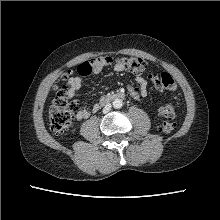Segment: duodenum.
<instances>
[{
	"label": "duodenum",
	"mask_w": 220,
	"mask_h": 220,
	"mask_svg": "<svg viewBox=\"0 0 220 220\" xmlns=\"http://www.w3.org/2000/svg\"><path fill=\"white\" fill-rule=\"evenodd\" d=\"M123 98H125V93H123V92H117L114 94L106 95V96L102 97L98 106L100 108V107L112 102L113 100L123 99Z\"/></svg>",
	"instance_id": "duodenum-1"
}]
</instances>
